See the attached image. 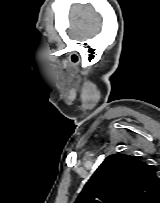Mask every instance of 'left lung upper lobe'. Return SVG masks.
<instances>
[{"label":"left lung upper lobe","instance_id":"1","mask_svg":"<svg viewBox=\"0 0 160 203\" xmlns=\"http://www.w3.org/2000/svg\"><path fill=\"white\" fill-rule=\"evenodd\" d=\"M160 179L145 162L131 155L113 154L98 167L75 203H153Z\"/></svg>","mask_w":160,"mask_h":203}]
</instances>
